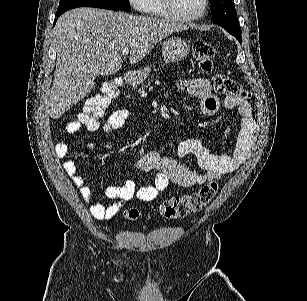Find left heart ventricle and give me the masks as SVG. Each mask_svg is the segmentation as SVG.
Masks as SVG:
<instances>
[{
  "label": "left heart ventricle",
  "instance_id": "obj_1",
  "mask_svg": "<svg viewBox=\"0 0 307 301\" xmlns=\"http://www.w3.org/2000/svg\"><path fill=\"white\" fill-rule=\"evenodd\" d=\"M201 0H174L173 13H195L197 14L200 8Z\"/></svg>",
  "mask_w": 307,
  "mask_h": 301
}]
</instances>
